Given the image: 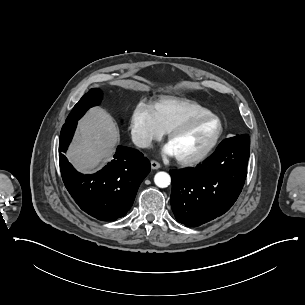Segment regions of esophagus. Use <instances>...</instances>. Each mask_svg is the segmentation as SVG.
<instances>
[{
	"instance_id": "34e87169",
	"label": "esophagus",
	"mask_w": 305,
	"mask_h": 305,
	"mask_svg": "<svg viewBox=\"0 0 305 305\" xmlns=\"http://www.w3.org/2000/svg\"><path fill=\"white\" fill-rule=\"evenodd\" d=\"M151 168L154 169V170H157L160 168V164L159 162L155 161V160H152L151 161Z\"/></svg>"
}]
</instances>
